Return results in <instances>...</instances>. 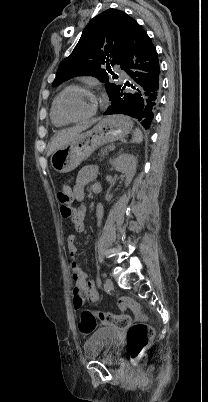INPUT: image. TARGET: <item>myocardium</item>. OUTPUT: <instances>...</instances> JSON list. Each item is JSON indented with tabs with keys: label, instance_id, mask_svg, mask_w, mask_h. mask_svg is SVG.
I'll list each match as a JSON object with an SVG mask.
<instances>
[{
	"label": "myocardium",
	"instance_id": "1",
	"mask_svg": "<svg viewBox=\"0 0 208 402\" xmlns=\"http://www.w3.org/2000/svg\"><path fill=\"white\" fill-rule=\"evenodd\" d=\"M72 89H81V90H84V91H91V92H94V93L97 95L98 100H97L95 106L93 107V109H92L88 114L83 115V116H80V117H71V116L67 115V114L61 109V107H60V99H61V97H62L66 92H68L69 90H72ZM104 102H105L104 95L99 94L97 91H93L89 86L78 85V84L69 85V86L65 87V88L57 95V97L55 98V105H56L57 112L59 113V115L61 116V118H62L63 120L68 121V122H80V121H86V120L92 118V117L97 113V111L99 110V108L103 106Z\"/></svg>",
	"mask_w": 208,
	"mask_h": 402
}]
</instances>
